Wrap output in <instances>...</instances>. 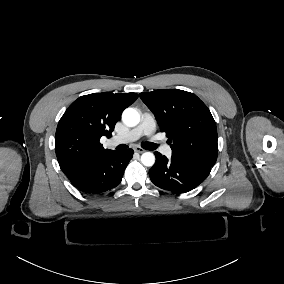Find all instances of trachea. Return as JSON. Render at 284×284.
<instances>
[{
  "mask_svg": "<svg viewBox=\"0 0 284 284\" xmlns=\"http://www.w3.org/2000/svg\"><path fill=\"white\" fill-rule=\"evenodd\" d=\"M158 144H155V143H151V142H144L143 144H142V147L144 148V149H147V150H155L156 148H158ZM128 148V146L127 145H125V144H121V145H118L117 146V149L118 150H124V149H127Z\"/></svg>",
  "mask_w": 284,
  "mask_h": 284,
  "instance_id": "obj_1",
  "label": "trachea"
}]
</instances>
